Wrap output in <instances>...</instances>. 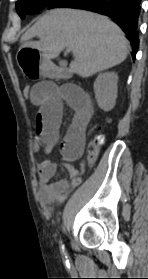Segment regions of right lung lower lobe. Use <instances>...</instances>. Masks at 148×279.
Instances as JSON below:
<instances>
[{"label": "right lung lower lobe", "instance_id": "obj_1", "mask_svg": "<svg viewBox=\"0 0 148 279\" xmlns=\"http://www.w3.org/2000/svg\"><path fill=\"white\" fill-rule=\"evenodd\" d=\"M141 0H56L47 8L69 7L107 15L126 33L132 45L133 59L139 47L138 20Z\"/></svg>", "mask_w": 148, "mask_h": 279}]
</instances>
